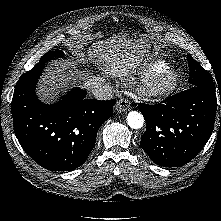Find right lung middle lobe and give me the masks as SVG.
<instances>
[{"label":"right lung middle lobe","mask_w":221,"mask_h":221,"mask_svg":"<svg viewBox=\"0 0 221 221\" xmlns=\"http://www.w3.org/2000/svg\"><path fill=\"white\" fill-rule=\"evenodd\" d=\"M64 53L60 50H56V51H49L46 54H44L39 63H37L35 66H42L44 65L48 60L52 59V58H56V57H63Z\"/></svg>","instance_id":"1"}]
</instances>
